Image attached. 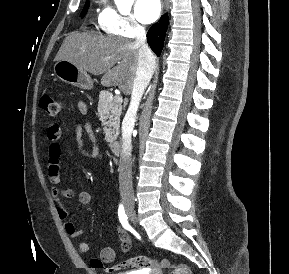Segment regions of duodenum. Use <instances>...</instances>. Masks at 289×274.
I'll list each match as a JSON object with an SVG mask.
<instances>
[{
    "mask_svg": "<svg viewBox=\"0 0 289 274\" xmlns=\"http://www.w3.org/2000/svg\"><path fill=\"white\" fill-rule=\"evenodd\" d=\"M110 148L114 154H120L121 152V143L119 141H112L110 143Z\"/></svg>",
    "mask_w": 289,
    "mask_h": 274,
    "instance_id": "410a0bca",
    "label": "duodenum"
}]
</instances>
